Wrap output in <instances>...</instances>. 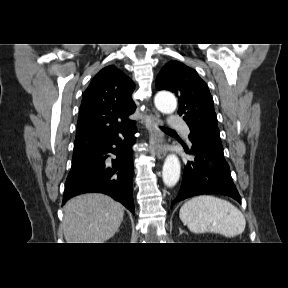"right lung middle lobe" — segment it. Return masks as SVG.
Wrapping results in <instances>:
<instances>
[{"mask_svg":"<svg viewBox=\"0 0 288 288\" xmlns=\"http://www.w3.org/2000/svg\"><path fill=\"white\" fill-rule=\"evenodd\" d=\"M79 157V156H78ZM73 158H76L75 153L73 154Z\"/></svg>","mask_w":288,"mask_h":288,"instance_id":"obj_1","label":"right lung middle lobe"}]
</instances>
